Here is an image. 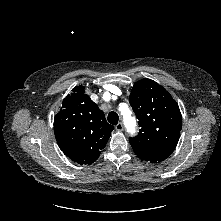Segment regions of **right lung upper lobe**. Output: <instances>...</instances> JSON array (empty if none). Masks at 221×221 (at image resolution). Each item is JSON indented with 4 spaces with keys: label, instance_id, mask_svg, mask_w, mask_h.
<instances>
[{
    "label": "right lung upper lobe",
    "instance_id": "cb5924a9",
    "mask_svg": "<svg viewBox=\"0 0 221 221\" xmlns=\"http://www.w3.org/2000/svg\"><path fill=\"white\" fill-rule=\"evenodd\" d=\"M113 129L82 85L76 86L63 100L54 117V133L60 149L79 164H91L98 159Z\"/></svg>",
    "mask_w": 221,
    "mask_h": 221
}]
</instances>
